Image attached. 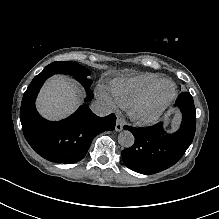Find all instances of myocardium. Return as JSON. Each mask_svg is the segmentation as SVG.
Returning <instances> with one entry per match:
<instances>
[{
	"mask_svg": "<svg viewBox=\"0 0 219 219\" xmlns=\"http://www.w3.org/2000/svg\"><path fill=\"white\" fill-rule=\"evenodd\" d=\"M162 83H168L171 86V93L164 101L154 104L152 102L153 95ZM175 97L176 87L174 83L170 80H159L131 106L130 116L134 121L141 124L153 123L162 115Z\"/></svg>",
	"mask_w": 219,
	"mask_h": 219,
	"instance_id": "f54148a6",
	"label": "myocardium"
}]
</instances>
